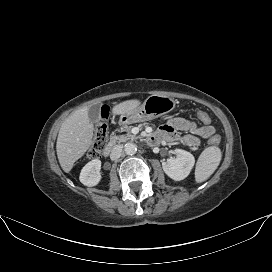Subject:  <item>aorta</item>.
Returning a JSON list of instances; mask_svg holds the SVG:
<instances>
[{
  "instance_id": "obj_1",
  "label": "aorta",
  "mask_w": 272,
  "mask_h": 272,
  "mask_svg": "<svg viewBox=\"0 0 272 272\" xmlns=\"http://www.w3.org/2000/svg\"><path fill=\"white\" fill-rule=\"evenodd\" d=\"M124 151L127 155H134L137 152V147L134 143H126L124 146Z\"/></svg>"
}]
</instances>
